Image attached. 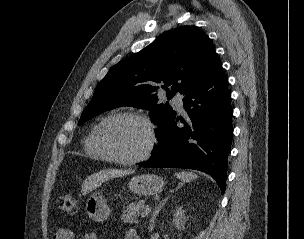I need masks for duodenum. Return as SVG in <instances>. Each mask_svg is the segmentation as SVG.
<instances>
[{
	"mask_svg": "<svg viewBox=\"0 0 304 239\" xmlns=\"http://www.w3.org/2000/svg\"><path fill=\"white\" fill-rule=\"evenodd\" d=\"M134 239H140V238H139V236L137 235V236L134 237Z\"/></svg>",
	"mask_w": 304,
	"mask_h": 239,
	"instance_id": "duodenum-1",
	"label": "duodenum"
}]
</instances>
